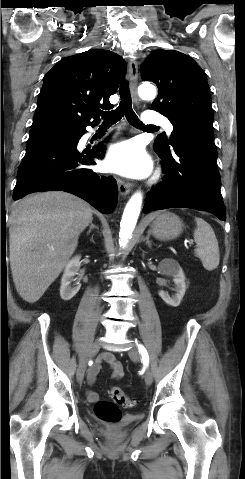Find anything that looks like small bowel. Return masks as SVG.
<instances>
[{
	"label": "small bowel",
	"mask_w": 245,
	"mask_h": 479,
	"mask_svg": "<svg viewBox=\"0 0 245 479\" xmlns=\"http://www.w3.org/2000/svg\"><path fill=\"white\" fill-rule=\"evenodd\" d=\"M101 363H106L112 369V378L113 379H120L124 376V369L120 362H118L115 357L110 353L102 354L98 363L94 364L88 374V383L92 384L95 381L96 376L99 374L101 370ZM87 398L90 402H94L98 399L97 393L94 391L87 392Z\"/></svg>",
	"instance_id": "obj_1"
}]
</instances>
